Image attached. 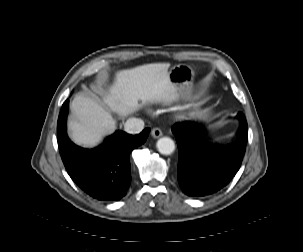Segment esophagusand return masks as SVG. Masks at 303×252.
I'll return each mask as SVG.
<instances>
[{"mask_svg":"<svg viewBox=\"0 0 303 252\" xmlns=\"http://www.w3.org/2000/svg\"><path fill=\"white\" fill-rule=\"evenodd\" d=\"M162 131H161V129H159V128H153L152 130H151V136L153 137V138H159V137H161L162 136Z\"/></svg>","mask_w":303,"mask_h":252,"instance_id":"34e87169","label":"esophagus"}]
</instances>
